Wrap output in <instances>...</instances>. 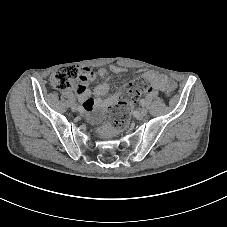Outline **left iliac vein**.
Listing matches in <instances>:
<instances>
[{"label": "left iliac vein", "instance_id": "obj_1", "mask_svg": "<svg viewBox=\"0 0 227 227\" xmlns=\"http://www.w3.org/2000/svg\"><path fill=\"white\" fill-rule=\"evenodd\" d=\"M138 114H139L140 117L146 116V115H147V109L144 108V107L141 108V109L139 110Z\"/></svg>", "mask_w": 227, "mask_h": 227}]
</instances>
